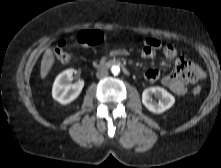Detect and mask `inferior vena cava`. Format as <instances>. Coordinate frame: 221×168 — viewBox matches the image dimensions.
<instances>
[{"instance_id": "inferior-vena-cava-1", "label": "inferior vena cava", "mask_w": 221, "mask_h": 168, "mask_svg": "<svg viewBox=\"0 0 221 168\" xmlns=\"http://www.w3.org/2000/svg\"><path fill=\"white\" fill-rule=\"evenodd\" d=\"M108 76V71L106 69H99L96 72V77L99 79L105 78Z\"/></svg>"}]
</instances>
